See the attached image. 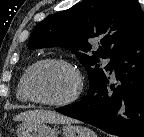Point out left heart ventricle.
Returning a JSON list of instances; mask_svg holds the SVG:
<instances>
[{
	"label": "left heart ventricle",
	"mask_w": 144,
	"mask_h": 137,
	"mask_svg": "<svg viewBox=\"0 0 144 137\" xmlns=\"http://www.w3.org/2000/svg\"><path fill=\"white\" fill-rule=\"evenodd\" d=\"M75 88L74 74L60 65H42L33 72L31 77L33 94L44 100H64L72 95Z\"/></svg>",
	"instance_id": "left-heart-ventricle-1"
}]
</instances>
